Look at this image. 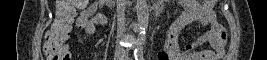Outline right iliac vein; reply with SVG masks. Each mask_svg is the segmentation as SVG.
<instances>
[{
	"label": "right iliac vein",
	"instance_id": "1",
	"mask_svg": "<svg viewBox=\"0 0 267 60\" xmlns=\"http://www.w3.org/2000/svg\"><path fill=\"white\" fill-rule=\"evenodd\" d=\"M117 57H118V59H119V60H121V59H122V58H121V57H122V54H121V52H119V53L117 54Z\"/></svg>",
	"mask_w": 267,
	"mask_h": 60
}]
</instances>
